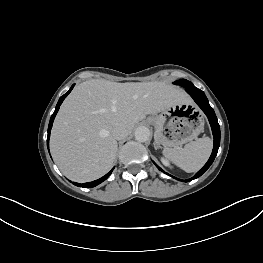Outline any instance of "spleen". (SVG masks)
Instances as JSON below:
<instances>
[{"mask_svg": "<svg viewBox=\"0 0 263 263\" xmlns=\"http://www.w3.org/2000/svg\"><path fill=\"white\" fill-rule=\"evenodd\" d=\"M211 151L212 140L209 137H203L186 144L182 149H164L163 154L184 171L192 173L203 167Z\"/></svg>", "mask_w": 263, "mask_h": 263, "instance_id": "obj_1", "label": "spleen"}]
</instances>
